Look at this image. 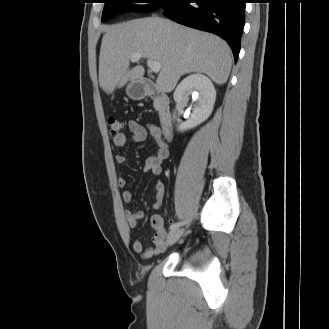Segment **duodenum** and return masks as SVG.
Returning a JSON list of instances; mask_svg holds the SVG:
<instances>
[{"instance_id":"duodenum-1","label":"duodenum","mask_w":329,"mask_h":329,"mask_svg":"<svg viewBox=\"0 0 329 329\" xmlns=\"http://www.w3.org/2000/svg\"><path fill=\"white\" fill-rule=\"evenodd\" d=\"M142 91L146 96L151 97L155 101V109L160 121L162 133L167 139H170L172 136V115L168 96L158 89L150 79H145L143 81Z\"/></svg>"}]
</instances>
